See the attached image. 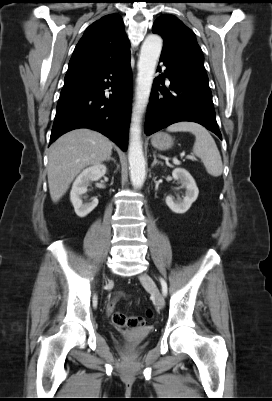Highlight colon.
<instances>
[{
    "label": "colon",
    "instance_id": "5ec220e1",
    "mask_svg": "<svg viewBox=\"0 0 272 401\" xmlns=\"http://www.w3.org/2000/svg\"><path fill=\"white\" fill-rule=\"evenodd\" d=\"M150 315L151 313L147 317H127L122 313L115 312L112 314V321L119 328L135 329L146 326L149 323Z\"/></svg>",
    "mask_w": 272,
    "mask_h": 401
}]
</instances>
